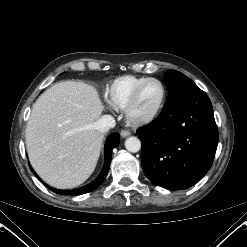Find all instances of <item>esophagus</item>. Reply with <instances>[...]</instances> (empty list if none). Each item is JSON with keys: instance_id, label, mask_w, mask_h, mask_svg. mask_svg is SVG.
Masks as SVG:
<instances>
[{"instance_id": "1", "label": "esophagus", "mask_w": 247, "mask_h": 247, "mask_svg": "<svg viewBox=\"0 0 247 247\" xmlns=\"http://www.w3.org/2000/svg\"><path fill=\"white\" fill-rule=\"evenodd\" d=\"M120 134L123 138H125L130 135V132L128 130H121Z\"/></svg>"}]
</instances>
